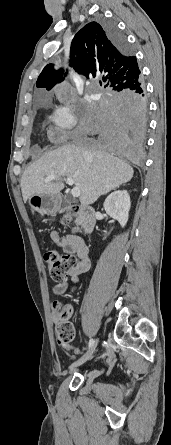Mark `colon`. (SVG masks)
<instances>
[{
    "instance_id": "1",
    "label": "colon",
    "mask_w": 171,
    "mask_h": 445,
    "mask_svg": "<svg viewBox=\"0 0 171 445\" xmlns=\"http://www.w3.org/2000/svg\"><path fill=\"white\" fill-rule=\"evenodd\" d=\"M79 206L70 205L69 212L64 218L65 224H70L78 214ZM44 260L49 268L50 277L54 281H63L68 275V271L75 265V258L71 255H61L54 249H47ZM55 311L58 314L55 331L56 337L61 344H71L75 338V330L69 321V308L63 304H56Z\"/></svg>"
}]
</instances>
